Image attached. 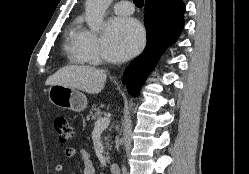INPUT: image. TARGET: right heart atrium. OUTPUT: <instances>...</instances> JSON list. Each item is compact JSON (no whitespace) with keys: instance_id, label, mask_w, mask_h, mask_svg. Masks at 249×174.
Here are the masks:
<instances>
[{"instance_id":"obj_1","label":"right heart atrium","mask_w":249,"mask_h":174,"mask_svg":"<svg viewBox=\"0 0 249 174\" xmlns=\"http://www.w3.org/2000/svg\"><path fill=\"white\" fill-rule=\"evenodd\" d=\"M80 50L91 63H98L102 59L101 43L97 36L89 30L83 32Z\"/></svg>"}]
</instances>
